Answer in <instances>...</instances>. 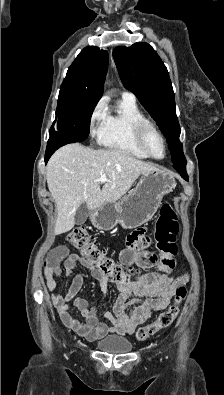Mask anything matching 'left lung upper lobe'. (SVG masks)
Wrapping results in <instances>:
<instances>
[{
	"instance_id": "obj_1",
	"label": "left lung upper lobe",
	"mask_w": 224,
	"mask_h": 395,
	"mask_svg": "<svg viewBox=\"0 0 224 395\" xmlns=\"http://www.w3.org/2000/svg\"><path fill=\"white\" fill-rule=\"evenodd\" d=\"M113 57L124 86L133 92L167 138L173 165L185 157L179 141L174 92L166 66L147 43L119 46Z\"/></svg>"
}]
</instances>
